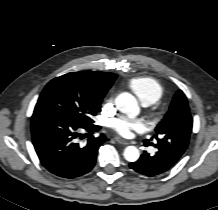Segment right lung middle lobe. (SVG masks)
Segmentation results:
<instances>
[{
    "mask_svg": "<svg viewBox=\"0 0 218 210\" xmlns=\"http://www.w3.org/2000/svg\"><path fill=\"white\" fill-rule=\"evenodd\" d=\"M102 99L83 93L55 78L43 89L34 113H56L80 124H91Z\"/></svg>",
    "mask_w": 218,
    "mask_h": 210,
    "instance_id": "right-lung-middle-lobe-1",
    "label": "right lung middle lobe"
}]
</instances>
